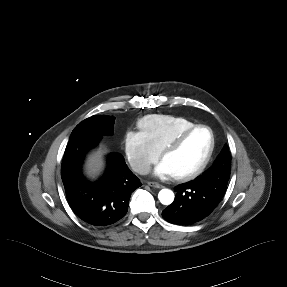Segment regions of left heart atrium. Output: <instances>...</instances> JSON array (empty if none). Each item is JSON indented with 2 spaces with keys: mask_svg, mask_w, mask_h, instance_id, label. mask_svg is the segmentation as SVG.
<instances>
[{
  "mask_svg": "<svg viewBox=\"0 0 287 287\" xmlns=\"http://www.w3.org/2000/svg\"><path fill=\"white\" fill-rule=\"evenodd\" d=\"M153 173L156 176L165 177V176H171L166 165L163 161L159 162L153 169Z\"/></svg>",
  "mask_w": 287,
  "mask_h": 287,
  "instance_id": "1",
  "label": "left heart atrium"
}]
</instances>
